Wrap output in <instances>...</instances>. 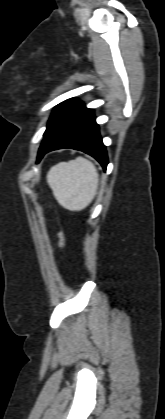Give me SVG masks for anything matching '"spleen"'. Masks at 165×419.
I'll return each mask as SVG.
<instances>
[{
    "mask_svg": "<svg viewBox=\"0 0 165 419\" xmlns=\"http://www.w3.org/2000/svg\"><path fill=\"white\" fill-rule=\"evenodd\" d=\"M99 176L94 164L79 156L51 167L47 183L54 197L64 208L80 211L95 198Z\"/></svg>",
    "mask_w": 165,
    "mask_h": 419,
    "instance_id": "3e777b00",
    "label": "spleen"
}]
</instances>
